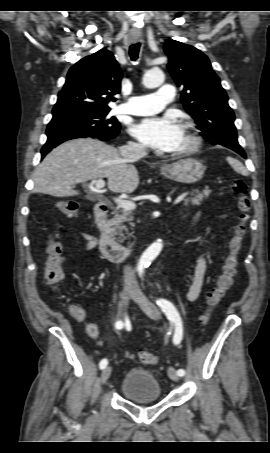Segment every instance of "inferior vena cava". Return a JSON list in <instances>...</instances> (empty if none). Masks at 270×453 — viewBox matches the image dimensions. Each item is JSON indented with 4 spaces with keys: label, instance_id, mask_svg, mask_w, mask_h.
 <instances>
[{
    "label": "inferior vena cava",
    "instance_id": "1",
    "mask_svg": "<svg viewBox=\"0 0 270 453\" xmlns=\"http://www.w3.org/2000/svg\"><path fill=\"white\" fill-rule=\"evenodd\" d=\"M120 155L124 158V160L128 162H135L142 157H144L147 153L145 147L141 144L136 143H129L127 145H123L119 148ZM124 273L127 277L133 276V269L131 266L126 265L124 267Z\"/></svg>",
    "mask_w": 270,
    "mask_h": 453
}]
</instances>
